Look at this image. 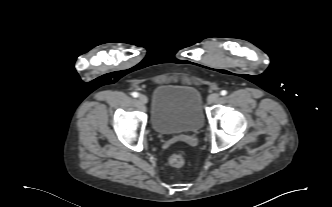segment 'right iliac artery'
I'll return each mask as SVG.
<instances>
[{"instance_id":"right-iliac-artery-1","label":"right iliac artery","mask_w":332,"mask_h":207,"mask_svg":"<svg viewBox=\"0 0 332 207\" xmlns=\"http://www.w3.org/2000/svg\"><path fill=\"white\" fill-rule=\"evenodd\" d=\"M138 95H139V94H138L137 92H133V93H132V96H133L134 98H137Z\"/></svg>"}]
</instances>
